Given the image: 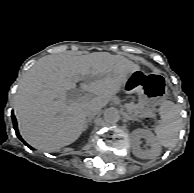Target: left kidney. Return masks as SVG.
<instances>
[{
  "mask_svg": "<svg viewBox=\"0 0 194 193\" xmlns=\"http://www.w3.org/2000/svg\"><path fill=\"white\" fill-rule=\"evenodd\" d=\"M142 138L146 139L150 149L140 147ZM132 152L141 159H154L161 153V144L151 131L139 128L132 132Z\"/></svg>",
  "mask_w": 194,
  "mask_h": 193,
  "instance_id": "5707ae66",
  "label": "left kidney"
}]
</instances>
